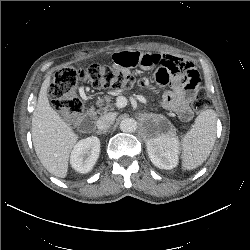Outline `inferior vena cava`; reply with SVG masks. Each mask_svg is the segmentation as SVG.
<instances>
[{
  "mask_svg": "<svg viewBox=\"0 0 250 250\" xmlns=\"http://www.w3.org/2000/svg\"><path fill=\"white\" fill-rule=\"evenodd\" d=\"M115 117L116 116L113 113H107L101 116L97 121V128L103 131L109 129L113 124Z\"/></svg>",
  "mask_w": 250,
  "mask_h": 250,
  "instance_id": "602c4592",
  "label": "inferior vena cava"
}]
</instances>
